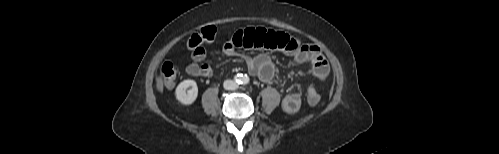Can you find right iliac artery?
<instances>
[{
  "instance_id": "1",
  "label": "right iliac artery",
  "mask_w": 499,
  "mask_h": 154,
  "mask_svg": "<svg viewBox=\"0 0 499 154\" xmlns=\"http://www.w3.org/2000/svg\"><path fill=\"white\" fill-rule=\"evenodd\" d=\"M242 79H243V75L242 74H237L234 77L235 82L238 83V84L242 83Z\"/></svg>"
}]
</instances>
